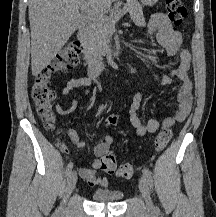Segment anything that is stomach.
I'll list each match as a JSON object with an SVG mask.
<instances>
[{"label": "stomach", "instance_id": "stomach-1", "mask_svg": "<svg viewBox=\"0 0 216 217\" xmlns=\"http://www.w3.org/2000/svg\"><path fill=\"white\" fill-rule=\"evenodd\" d=\"M140 2L145 6H153L158 2V0H140Z\"/></svg>", "mask_w": 216, "mask_h": 217}]
</instances>
